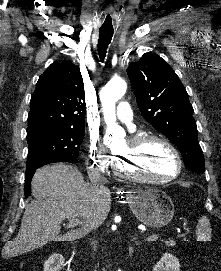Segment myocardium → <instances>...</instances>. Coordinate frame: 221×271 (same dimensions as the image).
Masks as SVG:
<instances>
[{
    "mask_svg": "<svg viewBox=\"0 0 221 271\" xmlns=\"http://www.w3.org/2000/svg\"><path fill=\"white\" fill-rule=\"evenodd\" d=\"M147 134V137H138V134H136V137H131V140H128V148L132 151L135 149L133 148L135 145L138 147L136 150H140L141 145H151L153 142L155 145H160V147H165V150H167V155L171 156V164H173V169L176 170L174 173L167 177H153L150 175H142L141 172L139 173H131L129 170H122V164L119 163V158H111L110 159V169L111 171L116 172L114 176H121V179H128V178H148V183L152 184H164L167 183V178H178L182 174L183 165H178L179 160L178 159V151L175 150V145H171V142L169 137L162 135L160 133L149 131L145 132ZM136 169L138 167H135Z\"/></svg>",
    "mask_w": 221,
    "mask_h": 271,
    "instance_id": "obj_1",
    "label": "myocardium"
}]
</instances>
